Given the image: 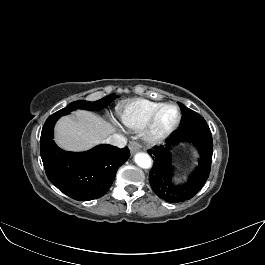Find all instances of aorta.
<instances>
[{
  "mask_svg": "<svg viewBox=\"0 0 265 265\" xmlns=\"http://www.w3.org/2000/svg\"><path fill=\"white\" fill-rule=\"evenodd\" d=\"M134 161L139 167L143 169H149L152 166L151 157L144 152H139L135 154Z\"/></svg>",
  "mask_w": 265,
  "mask_h": 265,
  "instance_id": "762f6f07",
  "label": "aorta"
}]
</instances>
